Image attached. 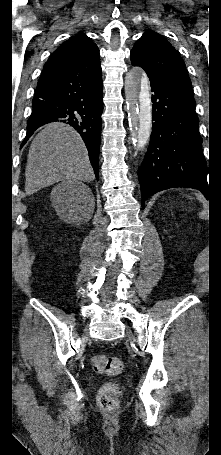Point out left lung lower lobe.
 <instances>
[{"label":"left lung lower lobe","mask_w":221,"mask_h":455,"mask_svg":"<svg viewBox=\"0 0 221 455\" xmlns=\"http://www.w3.org/2000/svg\"><path fill=\"white\" fill-rule=\"evenodd\" d=\"M150 82L154 122L138 169L142 207L151 195L173 187L195 188L207 197V167L195 101L157 81Z\"/></svg>","instance_id":"obj_1"}]
</instances>
